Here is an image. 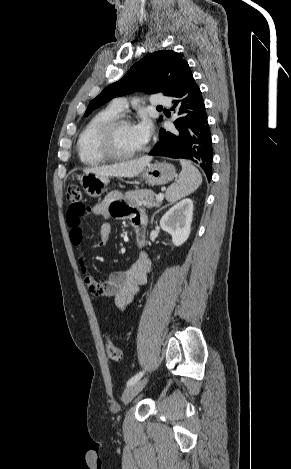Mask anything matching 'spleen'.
<instances>
[{"mask_svg":"<svg viewBox=\"0 0 291 469\" xmlns=\"http://www.w3.org/2000/svg\"><path fill=\"white\" fill-rule=\"evenodd\" d=\"M182 171L177 182L171 184L166 191V199L174 203L193 193L202 183L198 169L189 161L181 160Z\"/></svg>","mask_w":291,"mask_h":469,"instance_id":"1","label":"spleen"}]
</instances>
